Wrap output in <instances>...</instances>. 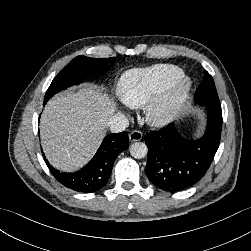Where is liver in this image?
I'll list each match as a JSON object with an SVG mask.
<instances>
[{
  "label": "liver",
  "mask_w": 251,
  "mask_h": 251,
  "mask_svg": "<svg viewBox=\"0 0 251 251\" xmlns=\"http://www.w3.org/2000/svg\"><path fill=\"white\" fill-rule=\"evenodd\" d=\"M115 110L114 101L93 86L50 99L40 121L42 148L49 162L62 171L84 166L99 147Z\"/></svg>",
  "instance_id": "obj_1"
}]
</instances>
